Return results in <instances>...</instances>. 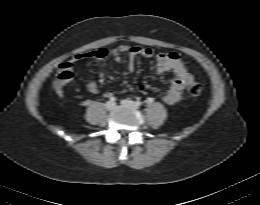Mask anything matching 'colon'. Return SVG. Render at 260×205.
<instances>
[{"instance_id": "colon-1", "label": "colon", "mask_w": 260, "mask_h": 205, "mask_svg": "<svg viewBox=\"0 0 260 205\" xmlns=\"http://www.w3.org/2000/svg\"><path fill=\"white\" fill-rule=\"evenodd\" d=\"M88 56L98 57L96 51L90 53ZM202 91H203V87L200 83L194 82L188 86V93L192 96H199L202 93Z\"/></svg>"}]
</instances>
